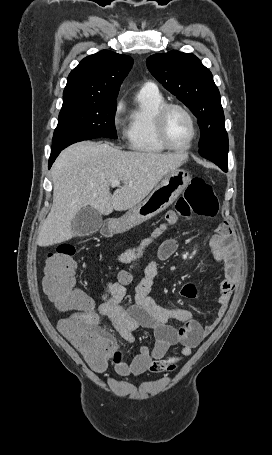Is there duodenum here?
<instances>
[{"mask_svg":"<svg viewBox=\"0 0 272 455\" xmlns=\"http://www.w3.org/2000/svg\"><path fill=\"white\" fill-rule=\"evenodd\" d=\"M103 233L105 235H111L113 233V226L112 224H106L103 228Z\"/></svg>","mask_w":272,"mask_h":455,"instance_id":"obj_1","label":"duodenum"}]
</instances>
